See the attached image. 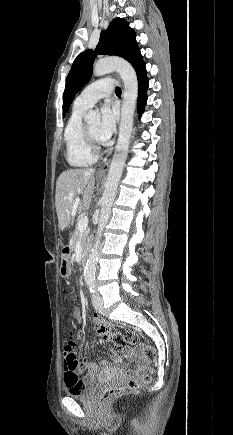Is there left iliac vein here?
<instances>
[{
	"label": "left iliac vein",
	"instance_id": "left-iliac-vein-1",
	"mask_svg": "<svg viewBox=\"0 0 233 435\" xmlns=\"http://www.w3.org/2000/svg\"><path fill=\"white\" fill-rule=\"evenodd\" d=\"M92 302H93V306L95 308V310L100 313L103 314L104 313V309H103V299L101 296L99 295H92Z\"/></svg>",
	"mask_w": 233,
	"mask_h": 435
}]
</instances>
